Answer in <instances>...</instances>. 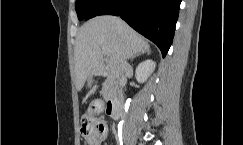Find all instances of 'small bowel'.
Instances as JSON below:
<instances>
[{"mask_svg": "<svg viewBox=\"0 0 243 145\" xmlns=\"http://www.w3.org/2000/svg\"><path fill=\"white\" fill-rule=\"evenodd\" d=\"M105 109L104 103L101 100H95L88 108L85 116L95 126V132L92 136L86 138L87 145H102L108 134V128L105 122L96 118V115L103 112Z\"/></svg>", "mask_w": 243, "mask_h": 145, "instance_id": "1", "label": "small bowel"}]
</instances>
